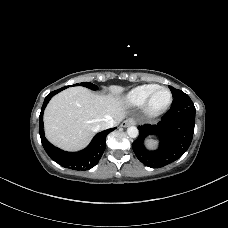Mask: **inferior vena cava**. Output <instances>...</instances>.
Here are the masks:
<instances>
[{
	"instance_id": "inferior-vena-cava-1",
	"label": "inferior vena cava",
	"mask_w": 228,
	"mask_h": 228,
	"mask_svg": "<svg viewBox=\"0 0 228 228\" xmlns=\"http://www.w3.org/2000/svg\"><path fill=\"white\" fill-rule=\"evenodd\" d=\"M116 125H117V122L110 119V120H105V121L99 123L96 128L99 131V130H105V129L112 128Z\"/></svg>"
}]
</instances>
